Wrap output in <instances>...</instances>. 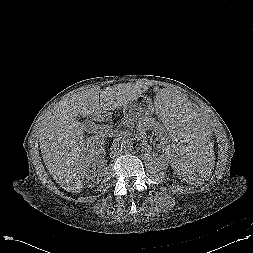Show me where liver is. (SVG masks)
<instances>
[{"mask_svg": "<svg viewBox=\"0 0 253 253\" xmlns=\"http://www.w3.org/2000/svg\"><path fill=\"white\" fill-rule=\"evenodd\" d=\"M148 88L143 83H121L102 91L95 86L60 101L46 116L39 128L41 153L50 175L63 189L74 194L83 189L79 159L86 128L77 117L98 118L104 111L133 102Z\"/></svg>", "mask_w": 253, "mask_h": 253, "instance_id": "liver-1", "label": "liver"}]
</instances>
